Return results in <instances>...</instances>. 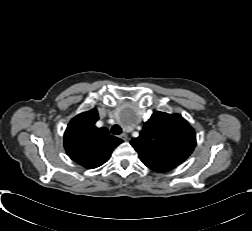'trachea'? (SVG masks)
<instances>
[{"instance_id":"3493384b","label":"trachea","mask_w":252,"mask_h":231,"mask_svg":"<svg viewBox=\"0 0 252 231\" xmlns=\"http://www.w3.org/2000/svg\"><path fill=\"white\" fill-rule=\"evenodd\" d=\"M111 132L112 134L114 135H119L122 133V129L119 125H114L112 128H111Z\"/></svg>"}]
</instances>
